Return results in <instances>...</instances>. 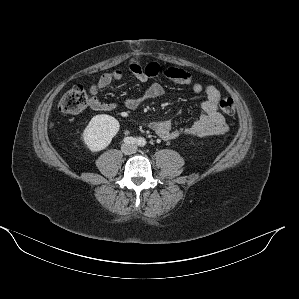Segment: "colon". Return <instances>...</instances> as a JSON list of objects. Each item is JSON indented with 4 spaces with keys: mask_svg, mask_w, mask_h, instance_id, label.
<instances>
[{
    "mask_svg": "<svg viewBox=\"0 0 299 299\" xmlns=\"http://www.w3.org/2000/svg\"><path fill=\"white\" fill-rule=\"evenodd\" d=\"M88 95L82 85H73L61 98L59 110L65 115L77 114L83 111L88 104ZM221 110L226 115H233L235 111L234 100L230 97L220 103Z\"/></svg>",
    "mask_w": 299,
    "mask_h": 299,
    "instance_id": "colon-1",
    "label": "colon"
}]
</instances>
